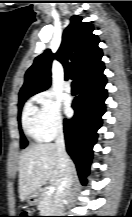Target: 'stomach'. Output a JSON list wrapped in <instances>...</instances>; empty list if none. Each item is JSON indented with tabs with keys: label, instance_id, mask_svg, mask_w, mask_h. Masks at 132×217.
Here are the masks:
<instances>
[{
	"label": "stomach",
	"instance_id": "0dacf381",
	"mask_svg": "<svg viewBox=\"0 0 132 217\" xmlns=\"http://www.w3.org/2000/svg\"><path fill=\"white\" fill-rule=\"evenodd\" d=\"M42 199V191L36 190L27 197V202L30 206L37 205Z\"/></svg>",
	"mask_w": 132,
	"mask_h": 217
}]
</instances>
